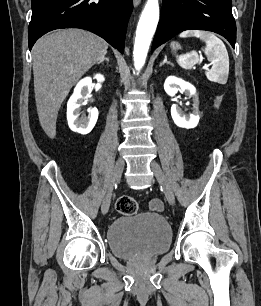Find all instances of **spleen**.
<instances>
[{"label":"spleen","mask_w":261,"mask_h":306,"mask_svg":"<svg viewBox=\"0 0 261 306\" xmlns=\"http://www.w3.org/2000/svg\"><path fill=\"white\" fill-rule=\"evenodd\" d=\"M181 38L197 37L204 41V51L207 59L212 63V68L206 71V77L213 82L226 84L229 74V56L224 43L213 33L201 30H186L180 35ZM177 62L183 69L189 70L199 62L197 52L192 51L177 56Z\"/></svg>","instance_id":"spleen-1"}]
</instances>
